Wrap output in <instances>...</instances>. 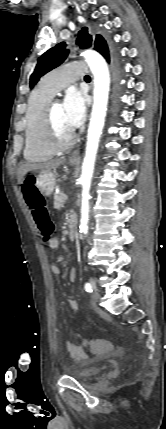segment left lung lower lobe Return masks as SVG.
Here are the masks:
<instances>
[{
	"mask_svg": "<svg viewBox=\"0 0 166 429\" xmlns=\"http://www.w3.org/2000/svg\"><path fill=\"white\" fill-rule=\"evenodd\" d=\"M99 53L109 62L110 61V59H109V50H108V47H104V48H102L100 51H99Z\"/></svg>",
	"mask_w": 166,
	"mask_h": 429,
	"instance_id": "left-lung-lower-lobe-1",
	"label": "left lung lower lobe"
}]
</instances>
